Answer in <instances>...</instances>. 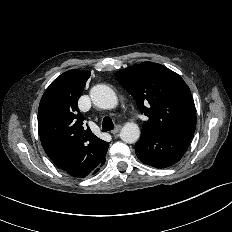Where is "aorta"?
<instances>
[{"instance_id":"1","label":"aorta","mask_w":232,"mask_h":232,"mask_svg":"<svg viewBox=\"0 0 232 232\" xmlns=\"http://www.w3.org/2000/svg\"><path fill=\"white\" fill-rule=\"evenodd\" d=\"M90 97L93 104L102 109H112L117 105L118 99L109 86L98 84L91 88ZM140 137V129L135 123L125 124L120 131V138L129 144L137 142Z\"/></svg>"}]
</instances>
